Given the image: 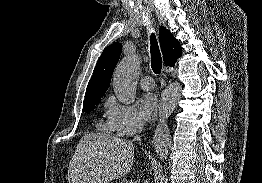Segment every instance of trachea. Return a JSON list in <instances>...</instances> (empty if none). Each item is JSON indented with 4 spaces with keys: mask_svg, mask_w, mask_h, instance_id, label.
Segmentation results:
<instances>
[{
    "mask_svg": "<svg viewBox=\"0 0 262 183\" xmlns=\"http://www.w3.org/2000/svg\"><path fill=\"white\" fill-rule=\"evenodd\" d=\"M150 44L151 67L155 74H159L162 69V57L156 36L154 34H151Z\"/></svg>",
    "mask_w": 262,
    "mask_h": 183,
    "instance_id": "3493384b",
    "label": "trachea"
}]
</instances>
